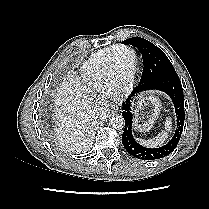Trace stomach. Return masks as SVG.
Returning a JSON list of instances; mask_svg holds the SVG:
<instances>
[{
    "mask_svg": "<svg viewBox=\"0 0 209 209\" xmlns=\"http://www.w3.org/2000/svg\"><path fill=\"white\" fill-rule=\"evenodd\" d=\"M161 103L154 95L142 97L136 104L134 127L140 132L150 130L159 117Z\"/></svg>",
    "mask_w": 209,
    "mask_h": 209,
    "instance_id": "1",
    "label": "stomach"
}]
</instances>
